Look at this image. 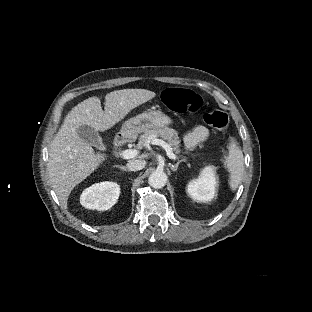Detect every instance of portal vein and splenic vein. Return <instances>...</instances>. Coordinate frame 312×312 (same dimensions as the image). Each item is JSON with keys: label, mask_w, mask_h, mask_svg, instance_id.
Returning <instances> with one entry per match:
<instances>
[{"label": "portal vein and splenic vein", "mask_w": 312, "mask_h": 312, "mask_svg": "<svg viewBox=\"0 0 312 312\" xmlns=\"http://www.w3.org/2000/svg\"><path fill=\"white\" fill-rule=\"evenodd\" d=\"M155 144H157L158 146H161L163 149L167 150V156L169 157V159H171V160H178L179 159L173 153V149H171L165 141H163L161 139H155ZM136 154H137V152L135 150H122L119 153L120 157L125 159V160L134 157ZM185 158L187 159V157H185Z\"/></svg>", "instance_id": "1"}]
</instances>
